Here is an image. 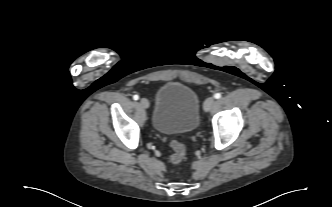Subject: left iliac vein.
Masks as SVG:
<instances>
[{
  "label": "left iliac vein",
  "instance_id": "left-iliac-vein-1",
  "mask_svg": "<svg viewBox=\"0 0 332 207\" xmlns=\"http://www.w3.org/2000/svg\"><path fill=\"white\" fill-rule=\"evenodd\" d=\"M214 104H215V99L213 97L207 98L204 102V106H203L204 110L206 112L210 111L211 108L214 106Z\"/></svg>",
  "mask_w": 332,
  "mask_h": 207
}]
</instances>
